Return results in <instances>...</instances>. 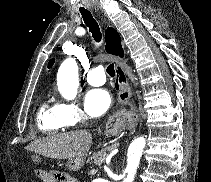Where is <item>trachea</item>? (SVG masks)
I'll return each mask as SVG.
<instances>
[{
	"label": "trachea",
	"mask_w": 211,
	"mask_h": 182,
	"mask_svg": "<svg viewBox=\"0 0 211 182\" xmlns=\"http://www.w3.org/2000/svg\"><path fill=\"white\" fill-rule=\"evenodd\" d=\"M80 12L85 24L89 27V31L92 33V37L94 38L96 42H100L102 35L100 32L99 26L97 22L95 21V19L93 18L92 14L87 10H81ZM106 71L110 76L112 77L115 76L114 64L113 63L110 64L107 67Z\"/></svg>",
	"instance_id": "3493384b"
}]
</instances>
